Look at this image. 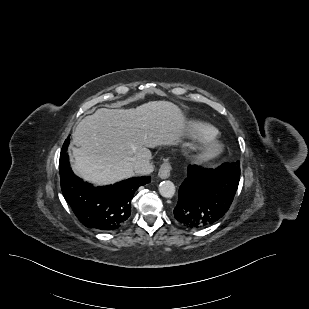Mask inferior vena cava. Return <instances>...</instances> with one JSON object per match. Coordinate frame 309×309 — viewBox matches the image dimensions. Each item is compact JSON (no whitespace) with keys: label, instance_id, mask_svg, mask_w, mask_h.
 I'll return each instance as SVG.
<instances>
[{"label":"inferior vena cava","instance_id":"inferior-vena-cava-1","mask_svg":"<svg viewBox=\"0 0 309 309\" xmlns=\"http://www.w3.org/2000/svg\"><path fill=\"white\" fill-rule=\"evenodd\" d=\"M132 162H133L134 170L136 172H139L143 169V164L140 161H138L136 158H132Z\"/></svg>","mask_w":309,"mask_h":309}]
</instances>
